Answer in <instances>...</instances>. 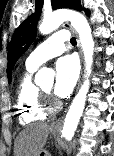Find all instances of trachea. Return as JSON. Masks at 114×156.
Wrapping results in <instances>:
<instances>
[{
  "instance_id": "3493384b",
  "label": "trachea",
  "mask_w": 114,
  "mask_h": 156,
  "mask_svg": "<svg viewBox=\"0 0 114 156\" xmlns=\"http://www.w3.org/2000/svg\"><path fill=\"white\" fill-rule=\"evenodd\" d=\"M70 42H71L72 44H76V38H75V37H72V38L70 39Z\"/></svg>"
}]
</instances>
